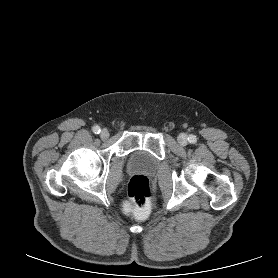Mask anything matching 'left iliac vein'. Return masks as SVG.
I'll use <instances>...</instances> for the list:
<instances>
[{"label": "left iliac vein", "mask_w": 278, "mask_h": 278, "mask_svg": "<svg viewBox=\"0 0 278 278\" xmlns=\"http://www.w3.org/2000/svg\"><path fill=\"white\" fill-rule=\"evenodd\" d=\"M178 142H179L181 145L185 146V145L187 144V136H186L185 134H180V135L178 136Z\"/></svg>", "instance_id": "obj_1"}]
</instances>
